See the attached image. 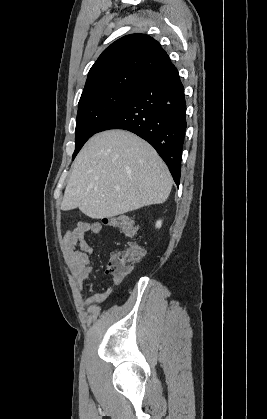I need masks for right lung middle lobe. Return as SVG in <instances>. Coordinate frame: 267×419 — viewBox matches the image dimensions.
I'll use <instances>...</instances> for the list:
<instances>
[{
    "mask_svg": "<svg viewBox=\"0 0 267 419\" xmlns=\"http://www.w3.org/2000/svg\"><path fill=\"white\" fill-rule=\"evenodd\" d=\"M139 85L102 91L80 99L76 120L75 158L84 143L137 91Z\"/></svg>",
    "mask_w": 267,
    "mask_h": 419,
    "instance_id": "1",
    "label": "right lung middle lobe"
}]
</instances>
